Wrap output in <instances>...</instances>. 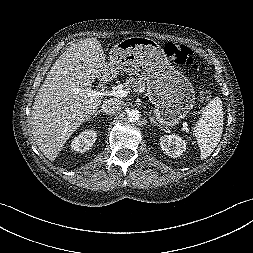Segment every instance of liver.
<instances>
[{
	"mask_svg": "<svg viewBox=\"0 0 253 253\" xmlns=\"http://www.w3.org/2000/svg\"><path fill=\"white\" fill-rule=\"evenodd\" d=\"M106 68L95 38L74 43L50 68L31 111L32 134L49 160H55L72 133L101 105L102 98H90L86 90Z\"/></svg>",
	"mask_w": 253,
	"mask_h": 253,
	"instance_id": "1",
	"label": "liver"
}]
</instances>
